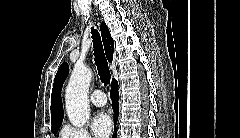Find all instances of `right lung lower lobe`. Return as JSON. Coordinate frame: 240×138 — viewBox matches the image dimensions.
Here are the masks:
<instances>
[{"mask_svg": "<svg viewBox=\"0 0 240 138\" xmlns=\"http://www.w3.org/2000/svg\"><path fill=\"white\" fill-rule=\"evenodd\" d=\"M111 86H112V88H111V91H110V96L112 98L113 110H114V113L116 115V119L114 120V122H116L117 116H118V108H119V104H118L119 93H118V83H117V81L113 80ZM113 138H116V131L113 134Z\"/></svg>", "mask_w": 240, "mask_h": 138, "instance_id": "1", "label": "right lung lower lobe"}]
</instances>
